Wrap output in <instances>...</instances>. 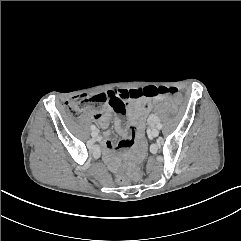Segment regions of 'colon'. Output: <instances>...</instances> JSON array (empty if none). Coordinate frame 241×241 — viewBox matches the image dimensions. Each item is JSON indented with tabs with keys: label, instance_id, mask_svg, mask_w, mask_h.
Masks as SVG:
<instances>
[{
	"label": "colon",
	"instance_id": "5ec220e1",
	"mask_svg": "<svg viewBox=\"0 0 241 241\" xmlns=\"http://www.w3.org/2000/svg\"><path fill=\"white\" fill-rule=\"evenodd\" d=\"M146 88H148L151 92L150 97H155L164 94L176 95L178 93L176 89H168L165 87L158 88L155 86H149ZM139 90L133 87L126 90L112 89L109 90L108 93H102L94 96L81 94L73 97L68 102H66L65 108L70 116L77 117L84 109L88 107H99L103 104H109L114 107L115 111L118 114L123 115L125 111V101L133 98H138ZM164 102L170 105V110L174 113L177 114L180 112V107L177 106L176 103L170 97H166L164 99ZM119 180L123 181L121 176L119 177Z\"/></svg>",
	"mask_w": 241,
	"mask_h": 241
}]
</instances>
